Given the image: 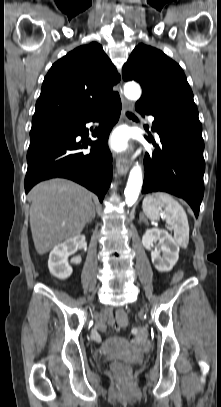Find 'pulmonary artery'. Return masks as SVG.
I'll use <instances>...</instances> for the list:
<instances>
[{"label":"pulmonary artery","instance_id":"pulmonary-artery-1","mask_svg":"<svg viewBox=\"0 0 221 407\" xmlns=\"http://www.w3.org/2000/svg\"><path fill=\"white\" fill-rule=\"evenodd\" d=\"M148 119H149L150 122H153V118H152V117H149Z\"/></svg>","mask_w":221,"mask_h":407}]
</instances>
